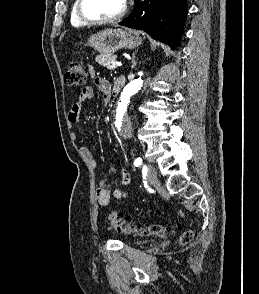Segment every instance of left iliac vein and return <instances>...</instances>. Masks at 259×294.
<instances>
[{
  "label": "left iliac vein",
  "instance_id": "4c4485c4",
  "mask_svg": "<svg viewBox=\"0 0 259 294\" xmlns=\"http://www.w3.org/2000/svg\"><path fill=\"white\" fill-rule=\"evenodd\" d=\"M156 169L154 166L152 165H149L148 168H147V179L150 181V182H154L156 180Z\"/></svg>",
  "mask_w": 259,
  "mask_h": 294
}]
</instances>
